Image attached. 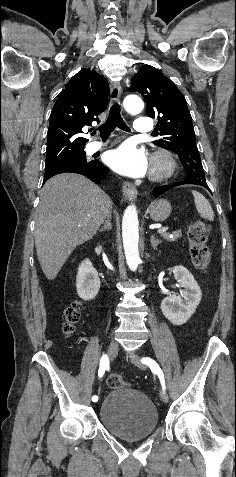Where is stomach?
Wrapping results in <instances>:
<instances>
[{
  "label": "stomach",
  "instance_id": "obj_1",
  "mask_svg": "<svg viewBox=\"0 0 236 477\" xmlns=\"http://www.w3.org/2000/svg\"><path fill=\"white\" fill-rule=\"evenodd\" d=\"M171 210V204L166 199H159L151 204L149 214L153 221L162 222L170 216Z\"/></svg>",
  "mask_w": 236,
  "mask_h": 477
}]
</instances>
